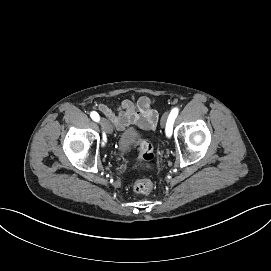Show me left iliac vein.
<instances>
[{
    "mask_svg": "<svg viewBox=\"0 0 271 271\" xmlns=\"http://www.w3.org/2000/svg\"><path fill=\"white\" fill-rule=\"evenodd\" d=\"M167 116H168V113H164V115H163L162 118H161V126H162V127H165V125H166V122H167Z\"/></svg>",
    "mask_w": 271,
    "mask_h": 271,
    "instance_id": "left-iliac-vein-1",
    "label": "left iliac vein"
}]
</instances>
